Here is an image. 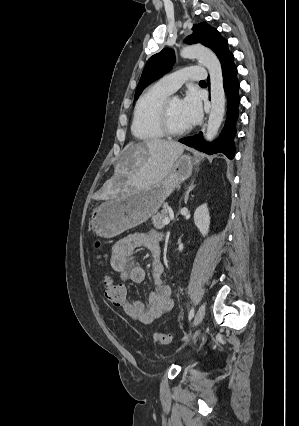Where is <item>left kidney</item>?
Listing matches in <instances>:
<instances>
[{"instance_id":"left-kidney-1","label":"left kidney","mask_w":299,"mask_h":426,"mask_svg":"<svg viewBox=\"0 0 299 426\" xmlns=\"http://www.w3.org/2000/svg\"><path fill=\"white\" fill-rule=\"evenodd\" d=\"M194 223L203 236H205L208 233L209 226H210V214H209V210L206 203L202 204L195 210ZM178 244H179V248H178L179 251H182L184 248L183 243L179 241Z\"/></svg>"}]
</instances>
